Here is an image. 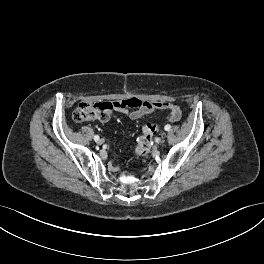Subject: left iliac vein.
Returning <instances> with one entry per match:
<instances>
[{
  "mask_svg": "<svg viewBox=\"0 0 264 264\" xmlns=\"http://www.w3.org/2000/svg\"><path fill=\"white\" fill-rule=\"evenodd\" d=\"M160 142H161L162 144H165L167 141H166L165 139H162Z\"/></svg>",
  "mask_w": 264,
  "mask_h": 264,
  "instance_id": "1",
  "label": "left iliac vein"
}]
</instances>
